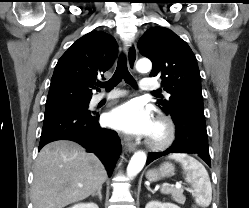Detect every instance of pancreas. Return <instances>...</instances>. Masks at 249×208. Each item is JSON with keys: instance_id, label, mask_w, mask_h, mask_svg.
<instances>
[{"instance_id": "cf45deb5", "label": "pancreas", "mask_w": 249, "mask_h": 208, "mask_svg": "<svg viewBox=\"0 0 249 208\" xmlns=\"http://www.w3.org/2000/svg\"><path fill=\"white\" fill-rule=\"evenodd\" d=\"M171 195L174 201H176L179 204H184L186 197L183 195V189H172Z\"/></svg>"}]
</instances>
